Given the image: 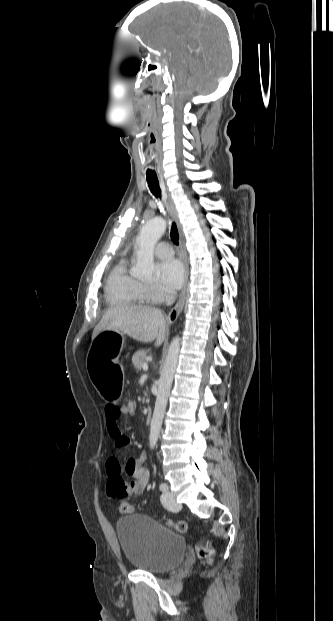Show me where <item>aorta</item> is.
<instances>
[{
  "mask_svg": "<svg viewBox=\"0 0 333 621\" xmlns=\"http://www.w3.org/2000/svg\"><path fill=\"white\" fill-rule=\"evenodd\" d=\"M166 230V221L155 217L147 221L137 237V266L135 275L150 279L154 273V247ZM180 338L176 336L171 341L165 363L158 381V393L151 420L149 445L151 449L157 444L168 396L172 387L174 373L178 364Z\"/></svg>",
  "mask_w": 333,
  "mask_h": 621,
  "instance_id": "obj_1",
  "label": "aorta"
}]
</instances>
